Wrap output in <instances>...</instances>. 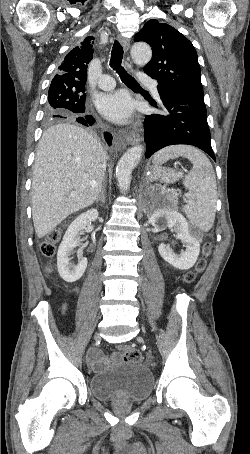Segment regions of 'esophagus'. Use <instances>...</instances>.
<instances>
[{
  "instance_id": "obj_1",
  "label": "esophagus",
  "mask_w": 250,
  "mask_h": 454,
  "mask_svg": "<svg viewBox=\"0 0 250 454\" xmlns=\"http://www.w3.org/2000/svg\"><path fill=\"white\" fill-rule=\"evenodd\" d=\"M118 40L122 44L124 50L127 52L130 47V40L121 35L118 37ZM124 133H125L126 141L129 144H137V143L141 142V140H142L140 134L136 131H129V132H124Z\"/></svg>"
}]
</instances>
